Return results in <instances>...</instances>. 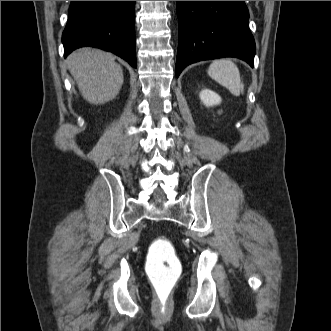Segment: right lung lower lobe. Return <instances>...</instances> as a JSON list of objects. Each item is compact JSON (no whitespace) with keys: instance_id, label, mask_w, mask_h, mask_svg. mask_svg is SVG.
<instances>
[{"instance_id":"98d812e1","label":"right lung lower lobe","mask_w":331,"mask_h":331,"mask_svg":"<svg viewBox=\"0 0 331 331\" xmlns=\"http://www.w3.org/2000/svg\"><path fill=\"white\" fill-rule=\"evenodd\" d=\"M134 6L135 1H71L62 35L64 56L79 47H97L136 68Z\"/></svg>"}]
</instances>
